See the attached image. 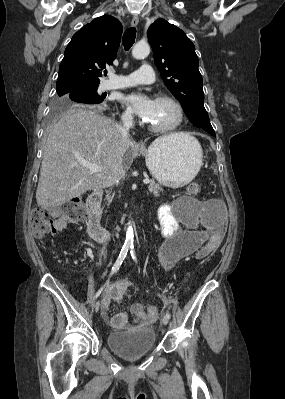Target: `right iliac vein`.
I'll use <instances>...</instances> for the list:
<instances>
[{
	"mask_svg": "<svg viewBox=\"0 0 285 399\" xmlns=\"http://www.w3.org/2000/svg\"><path fill=\"white\" fill-rule=\"evenodd\" d=\"M100 304H101L100 300H96V301H95V305H94L95 311H98V310H99Z\"/></svg>",
	"mask_w": 285,
	"mask_h": 399,
	"instance_id": "obj_1",
	"label": "right iliac vein"
}]
</instances>
